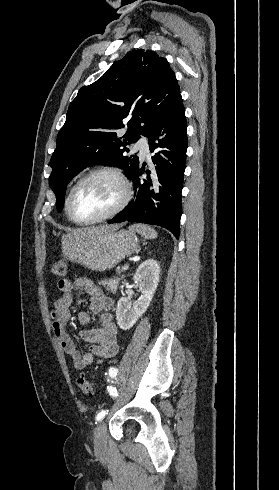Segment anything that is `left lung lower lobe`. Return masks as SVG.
<instances>
[{
    "mask_svg": "<svg viewBox=\"0 0 279 490\" xmlns=\"http://www.w3.org/2000/svg\"><path fill=\"white\" fill-rule=\"evenodd\" d=\"M147 136L151 152L164 147L170 150L161 151L168 160L162 158L159 153L152 156L158 177L155 183L149 176V170L137 167L130 177L135 186L133 200L108 223L130 221L158 225L171 231L178 239L187 150L186 117L182 98H179L150 128ZM161 137L163 139H160ZM143 173L147 174V179L139 178Z\"/></svg>",
    "mask_w": 279,
    "mask_h": 490,
    "instance_id": "obj_1",
    "label": "left lung lower lobe"
}]
</instances>
